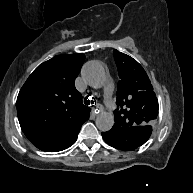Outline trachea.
<instances>
[{"mask_svg": "<svg viewBox=\"0 0 193 193\" xmlns=\"http://www.w3.org/2000/svg\"><path fill=\"white\" fill-rule=\"evenodd\" d=\"M89 96L90 95H88V96H86L85 98H84V103L86 104V105H92V106H94L93 104H94V100H95V98H92V99H94V100H89L88 98H89Z\"/></svg>", "mask_w": 193, "mask_h": 193, "instance_id": "obj_1", "label": "trachea"}]
</instances>
